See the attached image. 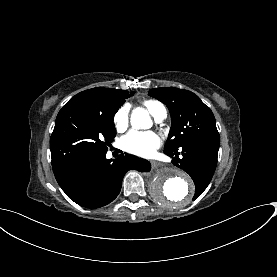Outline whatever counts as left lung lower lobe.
Here are the masks:
<instances>
[{
  "label": "left lung lower lobe",
  "mask_w": 277,
  "mask_h": 277,
  "mask_svg": "<svg viewBox=\"0 0 277 277\" xmlns=\"http://www.w3.org/2000/svg\"><path fill=\"white\" fill-rule=\"evenodd\" d=\"M220 145L219 137H203L183 144L174 150L164 153L173 157L172 163L177 167H182L194 181L195 196L197 198L208 186L216 165L218 149ZM178 150H182L180 158Z\"/></svg>",
  "instance_id": "left-lung-lower-lobe-1"
}]
</instances>
